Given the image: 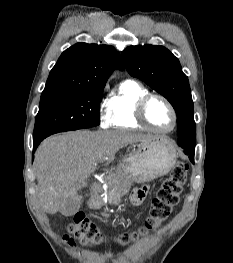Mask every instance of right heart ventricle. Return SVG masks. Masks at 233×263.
Here are the masks:
<instances>
[{"label": "right heart ventricle", "instance_id": "e07e8e85", "mask_svg": "<svg viewBox=\"0 0 233 263\" xmlns=\"http://www.w3.org/2000/svg\"><path fill=\"white\" fill-rule=\"evenodd\" d=\"M149 94L148 89L134 80L124 81L116 95L109 102L110 127L142 128L136 119L139 100Z\"/></svg>", "mask_w": 233, "mask_h": 263}]
</instances>
